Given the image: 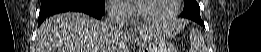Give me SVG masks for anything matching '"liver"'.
<instances>
[{
  "label": "liver",
  "mask_w": 261,
  "mask_h": 52,
  "mask_svg": "<svg viewBox=\"0 0 261 52\" xmlns=\"http://www.w3.org/2000/svg\"><path fill=\"white\" fill-rule=\"evenodd\" d=\"M146 28H139V34L146 35ZM171 32L172 29H163L164 34ZM117 35L120 38V33ZM123 50L126 49L116 35L106 33L102 21L75 12L46 19L37 31L35 43V52H126Z\"/></svg>",
  "instance_id": "6515ba94"
}]
</instances>
